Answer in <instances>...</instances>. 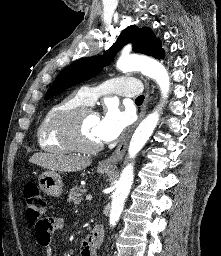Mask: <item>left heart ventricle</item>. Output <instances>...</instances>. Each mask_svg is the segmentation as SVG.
Returning a JSON list of instances; mask_svg holds the SVG:
<instances>
[{
	"label": "left heart ventricle",
	"instance_id": "1",
	"mask_svg": "<svg viewBox=\"0 0 221 256\" xmlns=\"http://www.w3.org/2000/svg\"><path fill=\"white\" fill-rule=\"evenodd\" d=\"M99 121L97 114L91 112L88 113L82 121L81 126V138L85 144L95 145L100 143L96 135V127Z\"/></svg>",
	"mask_w": 221,
	"mask_h": 256
}]
</instances>
